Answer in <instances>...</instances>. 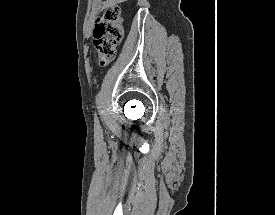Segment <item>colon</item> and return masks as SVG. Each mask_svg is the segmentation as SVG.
Segmentation results:
<instances>
[{"instance_id": "colon-1", "label": "colon", "mask_w": 275, "mask_h": 215, "mask_svg": "<svg viewBox=\"0 0 275 215\" xmlns=\"http://www.w3.org/2000/svg\"><path fill=\"white\" fill-rule=\"evenodd\" d=\"M123 16L116 1H112L94 27V45L100 64H109L116 56L123 39Z\"/></svg>"}]
</instances>
